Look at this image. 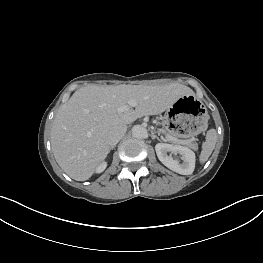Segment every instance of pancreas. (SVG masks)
Wrapping results in <instances>:
<instances>
[{
    "instance_id": "1",
    "label": "pancreas",
    "mask_w": 263,
    "mask_h": 263,
    "mask_svg": "<svg viewBox=\"0 0 263 263\" xmlns=\"http://www.w3.org/2000/svg\"><path fill=\"white\" fill-rule=\"evenodd\" d=\"M161 132L166 133L167 135L173 137L174 139L170 140V142H172L174 144H183V145L190 147L191 149H193L195 151L198 150L197 143H194L193 140H191V139H179L177 134H175L173 131H169V130L161 129Z\"/></svg>"
}]
</instances>
